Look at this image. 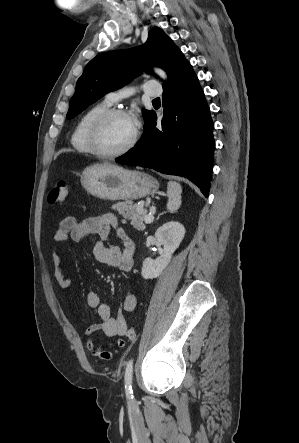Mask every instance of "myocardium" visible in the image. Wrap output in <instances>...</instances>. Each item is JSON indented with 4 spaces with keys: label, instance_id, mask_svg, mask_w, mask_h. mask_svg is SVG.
Returning <instances> with one entry per match:
<instances>
[{
    "label": "myocardium",
    "instance_id": "obj_1",
    "mask_svg": "<svg viewBox=\"0 0 299 443\" xmlns=\"http://www.w3.org/2000/svg\"><path fill=\"white\" fill-rule=\"evenodd\" d=\"M127 117V118H131L130 114L123 110V109H119V108H110L107 109L105 111H103L102 113H100L91 123L88 133H87V142L89 145V148L92 152V154L96 155L99 158L102 159H115L118 157H121L125 154H127L128 152H130L135 145L138 142L139 139V129L138 127L134 124V133L133 136L131 138V140L129 141V143L123 147L122 149L115 151V152H105L103 151L100 146H99V136L101 134V131L104 127V125L106 124V122L114 117Z\"/></svg>",
    "mask_w": 299,
    "mask_h": 443
}]
</instances>
